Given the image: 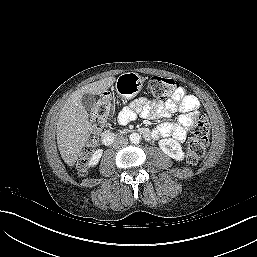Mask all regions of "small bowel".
<instances>
[{
  "instance_id": "obj_1",
  "label": "small bowel",
  "mask_w": 257,
  "mask_h": 257,
  "mask_svg": "<svg viewBox=\"0 0 257 257\" xmlns=\"http://www.w3.org/2000/svg\"><path fill=\"white\" fill-rule=\"evenodd\" d=\"M198 99L186 93L179 87L165 103H156L146 98H138L124 107L118 114V122L127 124L134 120L137 115L145 118H165L171 112L179 111L182 115L176 123H162L150 133L152 138L173 137L178 141H184L191 125L190 113L199 108Z\"/></svg>"
}]
</instances>
